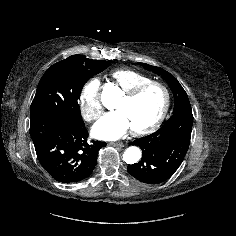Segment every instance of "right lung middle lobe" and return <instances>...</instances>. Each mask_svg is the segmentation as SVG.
I'll use <instances>...</instances> for the list:
<instances>
[{
  "label": "right lung middle lobe",
  "mask_w": 236,
  "mask_h": 236,
  "mask_svg": "<svg viewBox=\"0 0 236 236\" xmlns=\"http://www.w3.org/2000/svg\"><path fill=\"white\" fill-rule=\"evenodd\" d=\"M110 61L93 65L57 62L41 78L31 104L30 119L55 117L83 122L78 99L84 84L102 72Z\"/></svg>",
  "instance_id": "dd1d6c3e"
}]
</instances>
